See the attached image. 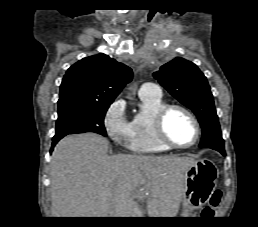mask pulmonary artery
<instances>
[{
	"instance_id": "1",
	"label": "pulmonary artery",
	"mask_w": 258,
	"mask_h": 227,
	"mask_svg": "<svg viewBox=\"0 0 258 227\" xmlns=\"http://www.w3.org/2000/svg\"><path fill=\"white\" fill-rule=\"evenodd\" d=\"M139 95H151L160 97L162 95L161 89L154 83H144L139 88Z\"/></svg>"
}]
</instances>
